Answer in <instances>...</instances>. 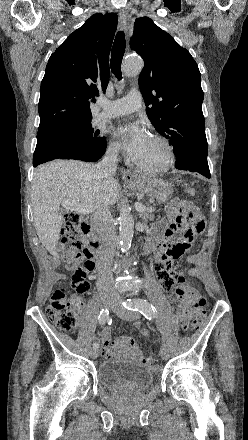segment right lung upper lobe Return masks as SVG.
<instances>
[{"label":"right lung upper lobe","instance_id":"right-lung-upper-lobe-1","mask_svg":"<svg viewBox=\"0 0 248 440\" xmlns=\"http://www.w3.org/2000/svg\"><path fill=\"white\" fill-rule=\"evenodd\" d=\"M117 22L116 14L96 13L52 53L41 82L38 131L92 118L90 101L108 85Z\"/></svg>","mask_w":248,"mask_h":440}]
</instances>
